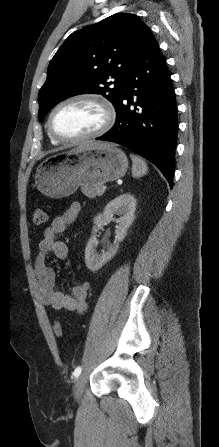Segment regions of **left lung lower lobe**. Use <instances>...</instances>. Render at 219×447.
I'll list each match as a JSON object with an SVG mask.
<instances>
[{"label":"left lung lower lobe","mask_w":219,"mask_h":447,"mask_svg":"<svg viewBox=\"0 0 219 447\" xmlns=\"http://www.w3.org/2000/svg\"><path fill=\"white\" fill-rule=\"evenodd\" d=\"M170 76L152 35L128 71L115 125L97 140L121 144L146 158L172 188L178 116Z\"/></svg>","instance_id":"1"}]
</instances>
